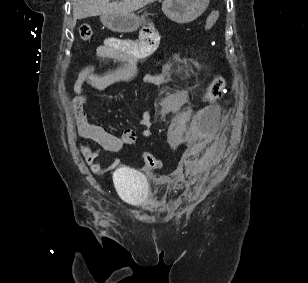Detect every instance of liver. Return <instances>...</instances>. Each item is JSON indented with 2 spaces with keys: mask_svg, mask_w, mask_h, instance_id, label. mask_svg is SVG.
I'll return each mask as SVG.
<instances>
[{
  "mask_svg": "<svg viewBox=\"0 0 308 283\" xmlns=\"http://www.w3.org/2000/svg\"><path fill=\"white\" fill-rule=\"evenodd\" d=\"M156 0H73V27L77 19L96 15H121L132 13Z\"/></svg>",
  "mask_w": 308,
  "mask_h": 283,
  "instance_id": "liver-1",
  "label": "liver"
}]
</instances>
